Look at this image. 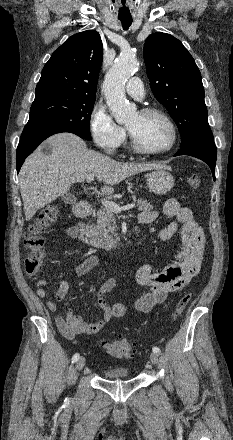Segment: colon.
Listing matches in <instances>:
<instances>
[{
  "label": "colon",
  "mask_w": 233,
  "mask_h": 440,
  "mask_svg": "<svg viewBox=\"0 0 233 440\" xmlns=\"http://www.w3.org/2000/svg\"><path fill=\"white\" fill-rule=\"evenodd\" d=\"M189 184L192 188H198L201 184V179L194 174L189 178ZM58 218V209L54 206H47L43 208L37 215L36 221L31 225L25 235L24 244L28 250V255L25 259L24 268L29 276H36L40 273L45 252L44 240L41 237L50 225H52ZM191 300V294L183 295L174 307L172 317L178 318L186 309ZM99 345L107 351V353L115 358L131 359L135 354L134 347L130 342L122 337L112 341L100 340Z\"/></svg>",
  "instance_id": "obj_1"
}]
</instances>
